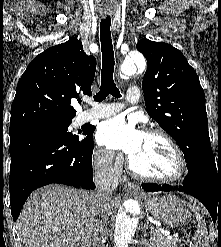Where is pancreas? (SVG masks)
I'll list each match as a JSON object with an SVG mask.
<instances>
[{
    "label": "pancreas",
    "mask_w": 221,
    "mask_h": 247,
    "mask_svg": "<svg viewBox=\"0 0 221 247\" xmlns=\"http://www.w3.org/2000/svg\"><path fill=\"white\" fill-rule=\"evenodd\" d=\"M178 239H168L157 229L151 228L150 245L151 247H177Z\"/></svg>",
    "instance_id": "pancreas-1"
}]
</instances>
